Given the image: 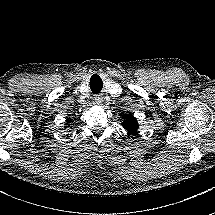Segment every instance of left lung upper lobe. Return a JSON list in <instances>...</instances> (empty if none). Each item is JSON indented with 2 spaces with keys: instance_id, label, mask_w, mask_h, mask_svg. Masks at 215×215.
<instances>
[{
  "instance_id": "left-lung-upper-lobe-1",
  "label": "left lung upper lobe",
  "mask_w": 215,
  "mask_h": 215,
  "mask_svg": "<svg viewBox=\"0 0 215 215\" xmlns=\"http://www.w3.org/2000/svg\"><path fill=\"white\" fill-rule=\"evenodd\" d=\"M122 126L130 134H136V131L138 129V123L136 122V119L131 114L125 115Z\"/></svg>"
}]
</instances>
